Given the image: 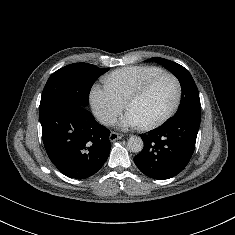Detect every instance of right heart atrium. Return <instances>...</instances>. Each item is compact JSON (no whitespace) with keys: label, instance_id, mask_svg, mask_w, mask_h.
<instances>
[{"label":"right heart atrium","instance_id":"1","mask_svg":"<svg viewBox=\"0 0 235 235\" xmlns=\"http://www.w3.org/2000/svg\"><path fill=\"white\" fill-rule=\"evenodd\" d=\"M90 104L94 115L103 124H110L125 106L107 84H95L92 87Z\"/></svg>","mask_w":235,"mask_h":235}]
</instances>
